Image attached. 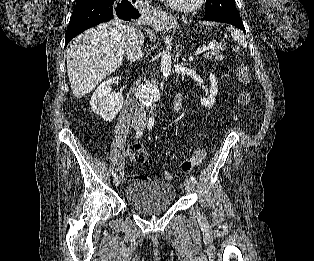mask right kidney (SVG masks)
<instances>
[{"label": "right kidney", "mask_w": 314, "mask_h": 261, "mask_svg": "<svg viewBox=\"0 0 314 261\" xmlns=\"http://www.w3.org/2000/svg\"><path fill=\"white\" fill-rule=\"evenodd\" d=\"M119 77L104 81L97 87L90 100L94 113L101 116L105 121H112L123 107V94H111L112 82H119Z\"/></svg>", "instance_id": "right-kidney-1"}]
</instances>
